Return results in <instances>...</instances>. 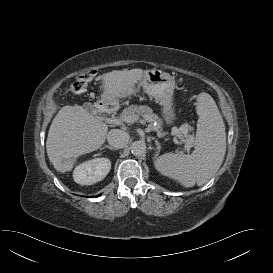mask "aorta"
Masks as SVG:
<instances>
[{
	"mask_svg": "<svg viewBox=\"0 0 273 273\" xmlns=\"http://www.w3.org/2000/svg\"><path fill=\"white\" fill-rule=\"evenodd\" d=\"M130 150L134 156H142L146 153V144L143 141H135L130 145Z\"/></svg>",
	"mask_w": 273,
	"mask_h": 273,
	"instance_id": "762f6f07",
	"label": "aorta"
}]
</instances>
